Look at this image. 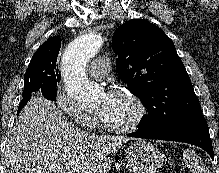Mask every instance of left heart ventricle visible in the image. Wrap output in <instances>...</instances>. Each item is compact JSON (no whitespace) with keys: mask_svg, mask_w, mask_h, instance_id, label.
Listing matches in <instances>:
<instances>
[{"mask_svg":"<svg viewBox=\"0 0 219 173\" xmlns=\"http://www.w3.org/2000/svg\"><path fill=\"white\" fill-rule=\"evenodd\" d=\"M96 107L101 117L115 126L129 124L136 115L133 102L127 96L119 93L102 94Z\"/></svg>","mask_w":219,"mask_h":173,"instance_id":"obj_1","label":"left heart ventricle"}]
</instances>
